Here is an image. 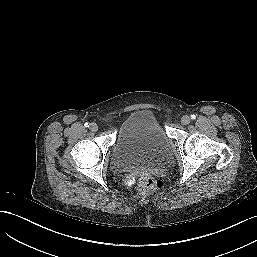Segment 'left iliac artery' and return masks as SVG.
I'll return each instance as SVG.
<instances>
[{
    "label": "left iliac artery",
    "instance_id": "obj_1",
    "mask_svg": "<svg viewBox=\"0 0 257 257\" xmlns=\"http://www.w3.org/2000/svg\"><path fill=\"white\" fill-rule=\"evenodd\" d=\"M191 119H192V120L196 119V116H195L194 114L191 115Z\"/></svg>",
    "mask_w": 257,
    "mask_h": 257
}]
</instances>
